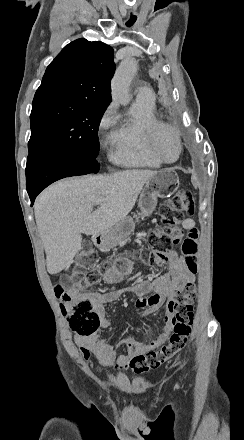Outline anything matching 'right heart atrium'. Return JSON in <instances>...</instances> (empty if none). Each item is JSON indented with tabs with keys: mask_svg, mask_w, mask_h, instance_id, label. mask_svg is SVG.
<instances>
[{
	"mask_svg": "<svg viewBox=\"0 0 244 440\" xmlns=\"http://www.w3.org/2000/svg\"><path fill=\"white\" fill-rule=\"evenodd\" d=\"M117 104L110 103L101 114L98 121V131L100 134H107L117 122Z\"/></svg>",
	"mask_w": 244,
	"mask_h": 440,
	"instance_id": "obj_1",
	"label": "right heart atrium"
}]
</instances>
